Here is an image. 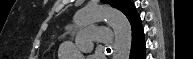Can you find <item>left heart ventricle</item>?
<instances>
[{
	"instance_id": "left-heart-ventricle-1",
	"label": "left heart ventricle",
	"mask_w": 193,
	"mask_h": 59,
	"mask_svg": "<svg viewBox=\"0 0 193 59\" xmlns=\"http://www.w3.org/2000/svg\"><path fill=\"white\" fill-rule=\"evenodd\" d=\"M89 49L87 48H80L79 49V52L80 54L83 56V55H86L88 53Z\"/></svg>"
}]
</instances>
